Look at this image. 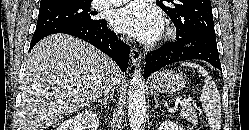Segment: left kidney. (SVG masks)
<instances>
[{"label": "left kidney", "mask_w": 249, "mask_h": 130, "mask_svg": "<svg viewBox=\"0 0 249 130\" xmlns=\"http://www.w3.org/2000/svg\"><path fill=\"white\" fill-rule=\"evenodd\" d=\"M158 130H183V128L179 126L178 124H175L171 120H165L159 126Z\"/></svg>", "instance_id": "left-kidney-1"}]
</instances>
